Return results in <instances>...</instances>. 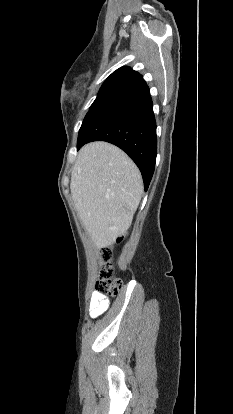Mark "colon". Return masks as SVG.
<instances>
[{"mask_svg":"<svg viewBox=\"0 0 233 414\" xmlns=\"http://www.w3.org/2000/svg\"><path fill=\"white\" fill-rule=\"evenodd\" d=\"M122 236H119L117 240H121ZM111 257V252L109 250H104L102 253V258L105 262H108ZM122 287V281L119 278H114L112 275V268L106 267L101 271L99 280L96 285L98 292L109 295L116 296Z\"/></svg>","mask_w":233,"mask_h":414,"instance_id":"obj_1","label":"colon"}]
</instances>
